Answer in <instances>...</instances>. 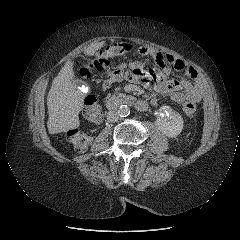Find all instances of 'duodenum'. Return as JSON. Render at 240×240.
<instances>
[{"mask_svg": "<svg viewBox=\"0 0 240 240\" xmlns=\"http://www.w3.org/2000/svg\"><path fill=\"white\" fill-rule=\"evenodd\" d=\"M132 103L134 107L139 111H145L148 108V103L143 100H133ZM120 104V100L110 99L106 103V108L111 111L116 109Z\"/></svg>", "mask_w": 240, "mask_h": 240, "instance_id": "1", "label": "duodenum"}]
</instances>
